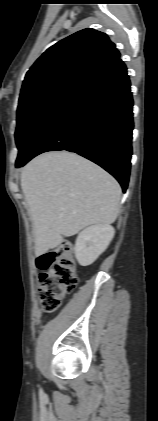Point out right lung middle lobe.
Segmentation results:
<instances>
[{"label":"right lung middle lobe","mask_w":158,"mask_h":421,"mask_svg":"<svg viewBox=\"0 0 158 421\" xmlns=\"http://www.w3.org/2000/svg\"><path fill=\"white\" fill-rule=\"evenodd\" d=\"M82 86L79 83H59L19 99L15 132L18 147L16 165L28 157L42 131Z\"/></svg>","instance_id":"dd1d6c3e"}]
</instances>
